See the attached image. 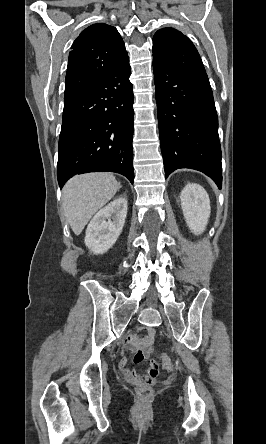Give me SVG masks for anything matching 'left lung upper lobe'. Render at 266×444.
Wrapping results in <instances>:
<instances>
[{
    "label": "left lung upper lobe",
    "instance_id": "1",
    "mask_svg": "<svg viewBox=\"0 0 266 444\" xmlns=\"http://www.w3.org/2000/svg\"><path fill=\"white\" fill-rule=\"evenodd\" d=\"M153 59L184 73H203L205 68L191 40L174 28L158 30L153 37Z\"/></svg>",
    "mask_w": 266,
    "mask_h": 444
}]
</instances>
